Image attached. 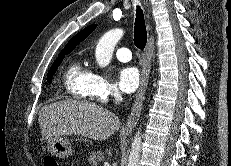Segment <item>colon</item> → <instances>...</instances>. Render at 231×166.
Returning <instances> with one entry per match:
<instances>
[{"label":"colon","instance_id":"colon-1","mask_svg":"<svg viewBox=\"0 0 231 166\" xmlns=\"http://www.w3.org/2000/svg\"><path fill=\"white\" fill-rule=\"evenodd\" d=\"M44 166H59V163L53 156H46L43 162Z\"/></svg>","mask_w":231,"mask_h":166}]
</instances>
